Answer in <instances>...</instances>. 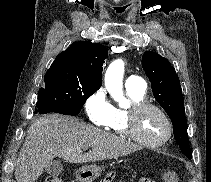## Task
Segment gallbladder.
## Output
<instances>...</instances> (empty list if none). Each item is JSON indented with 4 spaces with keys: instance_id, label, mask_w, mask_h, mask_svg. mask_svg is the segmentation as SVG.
<instances>
[{
    "instance_id": "bac80fb5",
    "label": "gallbladder",
    "mask_w": 211,
    "mask_h": 182,
    "mask_svg": "<svg viewBox=\"0 0 211 182\" xmlns=\"http://www.w3.org/2000/svg\"><path fill=\"white\" fill-rule=\"evenodd\" d=\"M45 171L52 176L60 175L63 171L62 163L59 160H51L45 166Z\"/></svg>"
}]
</instances>
